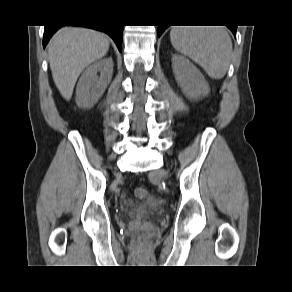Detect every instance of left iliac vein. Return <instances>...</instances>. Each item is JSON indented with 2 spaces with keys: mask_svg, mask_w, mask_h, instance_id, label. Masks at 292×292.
<instances>
[{
  "mask_svg": "<svg viewBox=\"0 0 292 292\" xmlns=\"http://www.w3.org/2000/svg\"><path fill=\"white\" fill-rule=\"evenodd\" d=\"M155 175H157L158 177H166L167 173L165 170H158L156 171Z\"/></svg>",
  "mask_w": 292,
  "mask_h": 292,
  "instance_id": "1",
  "label": "left iliac vein"
}]
</instances>
